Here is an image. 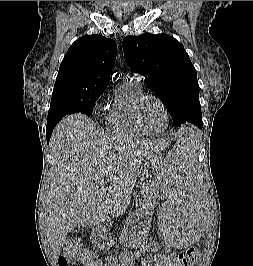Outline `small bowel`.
Masks as SVG:
<instances>
[{"mask_svg":"<svg viewBox=\"0 0 253 266\" xmlns=\"http://www.w3.org/2000/svg\"><path fill=\"white\" fill-rule=\"evenodd\" d=\"M151 250H157L156 247L151 248ZM150 258H143L141 261L142 266H146L145 262H147ZM119 266H137L135 263V255L129 252H123L118 257ZM100 266H109L106 262L100 261Z\"/></svg>","mask_w":253,"mask_h":266,"instance_id":"small-bowel-1","label":"small bowel"}]
</instances>
